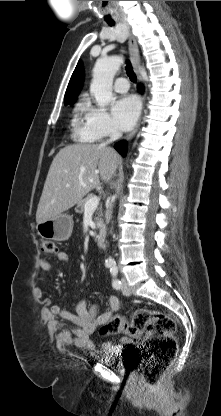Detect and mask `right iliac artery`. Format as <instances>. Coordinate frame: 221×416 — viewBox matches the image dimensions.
<instances>
[{
	"label": "right iliac artery",
	"mask_w": 221,
	"mask_h": 416,
	"mask_svg": "<svg viewBox=\"0 0 221 416\" xmlns=\"http://www.w3.org/2000/svg\"><path fill=\"white\" fill-rule=\"evenodd\" d=\"M111 266H112V264L106 263V267H111Z\"/></svg>",
	"instance_id": "1"
}]
</instances>
